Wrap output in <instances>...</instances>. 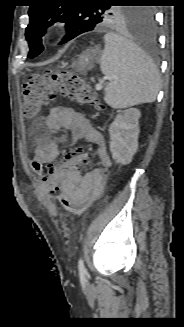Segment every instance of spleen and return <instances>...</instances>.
Masks as SVG:
<instances>
[{
    "label": "spleen",
    "mask_w": 184,
    "mask_h": 327,
    "mask_svg": "<svg viewBox=\"0 0 184 327\" xmlns=\"http://www.w3.org/2000/svg\"><path fill=\"white\" fill-rule=\"evenodd\" d=\"M101 71L110 78L105 101L113 108L155 101L159 72L152 60L132 41L115 33L104 36Z\"/></svg>",
    "instance_id": "spleen-1"
}]
</instances>
